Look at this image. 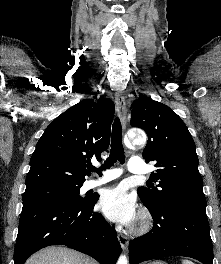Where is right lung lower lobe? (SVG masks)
<instances>
[{
	"label": "right lung lower lobe",
	"mask_w": 221,
	"mask_h": 264,
	"mask_svg": "<svg viewBox=\"0 0 221 264\" xmlns=\"http://www.w3.org/2000/svg\"><path fill=\"white\" fill-rule=\"evenodd\" d=\"M98 196L81 204L54 201L23 203L14 252V264L50 245H66L101 264H116L121 252L114 227L93 212Z\"/></svg>",
	"instance_id": "right-lung-lower-lobe-1"
}]
</instances>
